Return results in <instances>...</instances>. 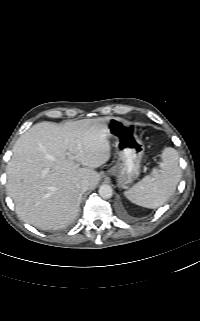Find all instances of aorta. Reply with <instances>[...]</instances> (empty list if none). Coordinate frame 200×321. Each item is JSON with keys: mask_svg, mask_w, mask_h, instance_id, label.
<instances>
[{"mask_svg": "<svg viewBox=\"0 0 200 321\" xmlns=\"http://www.w3.org/2000/svg\"><path fill=\"white\" fill-rule=\"evenodd\" d=\"M99 195L103 198V199H109L112 197L113 195V189L110 185H101L99 190Z\"/></svg>", "mask_w": 200, "mask_h": 321, "instance_id": "762f6f07", "label": "aorta"}]
</instances>
